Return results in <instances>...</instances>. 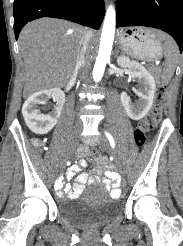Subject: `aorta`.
<instances>
[{"label":"aorta","instance_id":"obj_1","mask_svg":"<svg viewBox=\"0 0 183 246\" xmlns=\"http://www.w3.org/2000/svg\"><path fill=\"white\" fill-rule=\"evenodd\" d=\"M115 25L116 12L113 6H109L104 18L99 51L92 73L95 82H99L102 79L106 64L110 60L115 35Z\"/></svg>","mask_w":183,"mask_h":246}]
</instances>
